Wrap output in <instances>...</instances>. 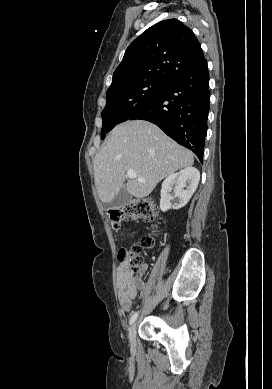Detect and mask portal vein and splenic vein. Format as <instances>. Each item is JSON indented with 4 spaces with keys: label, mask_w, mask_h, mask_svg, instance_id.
I'll use <instances>...</instances> for the list:
<instances>
[{
    "label": "portal vein and splenic vein",
    "mask_w": 272,
    "mask_h": 389,
    "mask_svg": "<svg viewBox=\"0 0 272 389\" xmlns=\"http://www.w3.org/2000/svg\"><path fill=\"white\" fill-rule=\"evenodd\" d=\"M126 175L127 177H129L130 179H135L137 177L136 173L134 170H127L126 171ZM138 181L139 182H145V179L143 178H138Z\"/></svg>",
    "instance_id": "18ae733b"
}]
</instances>
